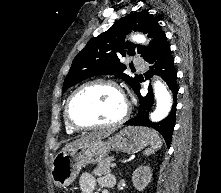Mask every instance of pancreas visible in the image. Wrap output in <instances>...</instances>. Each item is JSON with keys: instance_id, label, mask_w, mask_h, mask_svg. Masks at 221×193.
<instances>
[{"instance_id": "1", "label": "pancreas", "mask_w": 221, "mask_h": 193, "mask_svg": "<svg viewBox=\"0 0 221 193\" xmlns=\"http://www.w3.org/2000/svg\"><path fill=\"white\" fill-rule=\"evenodd\" d=\"M113 161L114 159L112 157L105 158L103 161L99 162L98 166L94 169L93 174L98 177L110 174Z\"/></svg>"}]
</instances>
